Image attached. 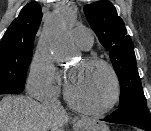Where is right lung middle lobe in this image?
<instances>
[{"mask_svg":"<svg viewBox=\"0 0 151 131\" xmlns=\"http://www.w3.org/2000/svg\"><path fill=\"white\" fill-rule=\"evenodd\" d=\"M32 52V44L0 43V94H19L24 90Z\"/></svg>","mask_w":151,"mask_h":131,"instance_id":"dd1d6c3e","label":"right lung middle lobe"}]
</instances>
